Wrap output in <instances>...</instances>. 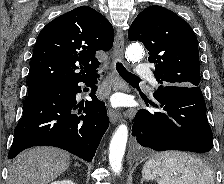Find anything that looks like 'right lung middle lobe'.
Returning a JSON list of instances; mask_svg holds the SVG:
<instances>
[{
    "label": "right lung middle lobe",
    "instance_id": "right-lung-middle-lobe-1",
    "mask_svg": "<svg viewBox=\"0 0 224 184\" xmlns=\"http://www.w3.org/2000/svg\"><path fill=\"white\" fill-rule=\"evenodd\" d=\"M43 88H46V87H37V86H35V87H29L28 88V94L29 93H32V92H35V91H38V90L43 89Z\"/></svg>",
    "mask_w": 224,
    "mask_h": 184
}]
</instances>
